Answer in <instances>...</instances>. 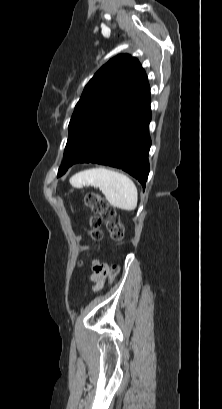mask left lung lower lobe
<instances>
[{
    "instance_id": "left-lung-lower-lobe-1",
    "label": "left lung lower lobe",
    "mask_w": 222,
    "mask_h": 409,
    "mask_svg": "<svg viewBox=\"0 0 222 409\" xmlns=\"http://www.w3.org/2000/svg\"><path fill=\"white\" fill-rule=\"evenodd\" d=\"M150 120V101L129 100L115 119L94 136L72 165L91 162L116 167L138 179L145 188L151 146Z\"/></svg>"
}]
</instances>
